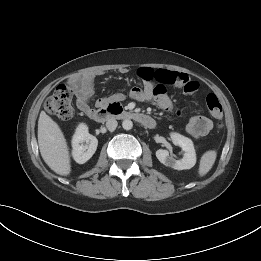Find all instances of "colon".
Returning <instances> with one entry per match:
<instances>
[{
  "label": "colon",
  "instance_id": "obj_1",
  "mask_svg": "<svg viewBox=\"0 0 261 261\" xmlns=\"http://www.w3.org/2000/svg\"><path fill=\"white\" fill-rule=\"evenodd\" d=\"M72 93L69 87L64 84L59 85L53 95L46 101L45 109L48 113L55 115L59 119L68 120L73 116ZM206 104L211 117L220 120L223 116L222 106L215 94L206 97ZM219 126L221 124L219 123Z\"/></svg>",
  "mask_w": 261,
  "mask_h": 261
}]
</instances>
